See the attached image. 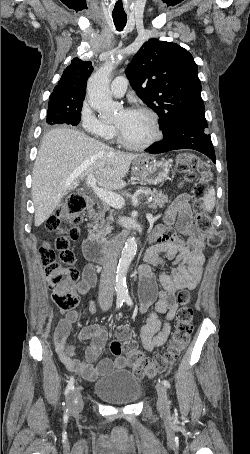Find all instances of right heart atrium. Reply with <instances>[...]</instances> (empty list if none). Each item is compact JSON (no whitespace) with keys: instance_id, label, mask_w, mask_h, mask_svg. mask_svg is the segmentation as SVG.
Listing matches in <instances>:
<instances>
[{"instance_id":"d8ad5b80","label":"right heart atrium","mask_w":250,"mask_h":454,"mask_svg":"<svg viewBox=\"0 0 250 454\" xmlns=\"http://www.w3.org/2000/svg\"><path fill=\"white\" fill-rule=\"evenodd\" d=\"M80 122L86 133L98 137H106L113 131V127L102 121L91 109L88 100H84L80 109Z\"/></svg>"}]
</instances>
